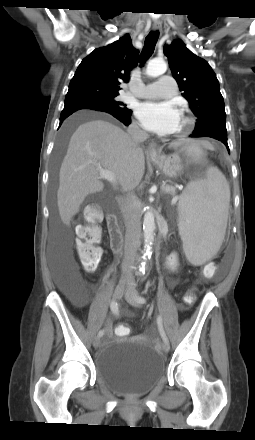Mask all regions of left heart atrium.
Instances as JSON below:
<instances>
[{"label":"left heart atrium","instance_id":"left-heart-atrium-1","mask_svg":"<svg viewBox=\"0 0 255 440\" xmlns=\"http://www.w3.org/2000/svg\"><path fill=\"white\" fill-rule=\"evenodd\" d=\"M136 116L148 131L161 135L177 131L179 110L170 102H144L136 108Z\"/></svg>","mask_w":255,"mask_h":440}]
</instances>
